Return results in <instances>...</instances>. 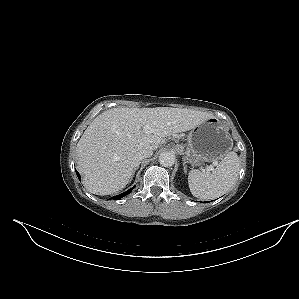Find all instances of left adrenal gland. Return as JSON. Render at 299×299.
I'll use <instances>...</instances> for the list:
<instances>
[{
    "label": "left adrenal gland",
    "instance_id": "left-adrenal-gland-1",
    "mask_svg": "<svg viewBox=\"0 0 299 299\" xmlns=\"http://www.w3.org/2000/svg\"><path fill=\"white\" fill-rule=\"evenodd\" d=\"M183 168H184V172L187 173V165H186V160H183Z\"/></svg>",
    "mask_w": 299,
    "mask_h": 299
}]
</instances>
